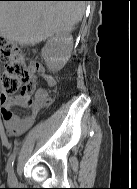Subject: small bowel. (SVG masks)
Returning a JSON list of instances; mask_svg holds the SVG:
<instances>
[{"mask_svg": "<svg viewBox=\"0 0 137 189\" xmlns=\"http://www.w3.org/2000/svg\"><path fill=\"white\" fill-rule=\"evenodd\" d=\"M41 76L45 83L52 87L56 84V79L49 74H45L41 66L34 68V75L32 77L35 89L34 98L36 99V107L31 108L26 104V96H17L13 99H7L1 104V114L4 121V125L8 135L21 136L27 132L34 124L39 111L52 103V98L44 88L36 87L37 77ZM21 107L24 109H30V111L24 115H19L13 112V107Z\"/></svg>", "mask_w": 137, "mask_h": 189, "instance_id": "c3829d8e", "label": "small bowel"}]
</instances>
